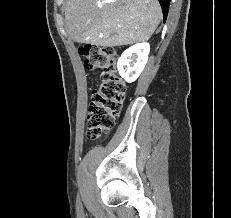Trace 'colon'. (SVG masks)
I'll return each mask as SVG.
<instances>
[{"instance_id":"obj_1","label":"colon","mask_w":231,"mask_h":218,"mask_svg":"<svg viewBox=\"0 0 231 218\" xmlns=\"http://www.w3.org/2000/svg\"><path fill=\"white\" fill-rule=\"evenodd\" d=\"M80 54L86 69L101 70L100 83L92 91L87 113V136L95 140L114 127L121 112L126 85L116 71L117 52L114 48L84 45Z\"/></svg>"}]
</instances>
